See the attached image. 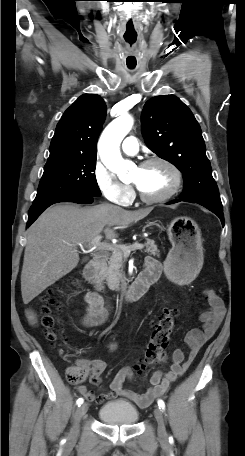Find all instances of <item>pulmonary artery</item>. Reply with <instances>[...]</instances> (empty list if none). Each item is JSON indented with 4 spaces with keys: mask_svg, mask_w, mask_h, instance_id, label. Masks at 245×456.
I'll list each match as a JSON object with an SVG mask.
<instances>
[{
    "mask_svg": "<svg viewBox=\"0 0 245 456\" xmlns=\"http://www.w3.org/2000/svg\"><path fill=\"white\" fill-rule=\"evenodd\" d=\"M122 150L128 155H135L139 150V144L134 136H128L122 142Z\"/></svg>",
    "mask_w": 245,
    "mask_h": 456,
    "instance_id": "obj_1",
    "label": "pulmonary artery"
}]
</instances>
